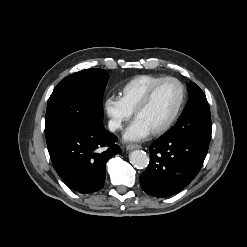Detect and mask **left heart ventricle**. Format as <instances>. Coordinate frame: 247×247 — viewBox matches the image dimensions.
<instances>
[{
	"mask_svg": "<svg viewBox=\"0 0 247 247\" xmlns=\"http://www.w3.org/2000/svg\"><path fill=\"white\" fill-rule=\"evenodd\" d=\"M180 95V88L176 83H165L156 92L148 107L141 111L136 119L151 132L160 128L175 112L180 101Z\"/></svg>",
	"mask_w": 247,
	"mask_h": 247,
	"instance_id": "obj_1",
	"label": "left heart ventricle"
}]
</instances>
